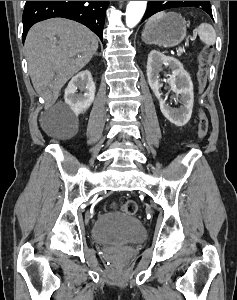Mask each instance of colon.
Segmentation results:
<instances>
[{
	"label": "colon",
	"mask_w": 237,
	"mask_h": 300,
	"mask_svg": "<svg viewBox=\"0 0 237 300\" xmlns=\"http://www.w3.org/2000/svg\"><path fill=\"white\" fill-rule=\"evenodd\" d=\"M211 56H212L211 47H205L199 53L198 56L197 82H198V88L200 92L203 91L206 84ZM198 117H199L198 136L199 138H204L208 131V119L205 112L201 109L198 112ZM112 207H116V204H113ZM121 210L123 213L133 216L138 211V205L135 201L128 200L122 204Z\"/></svg>",
	"instance_id": "1"
}]
</instances>
